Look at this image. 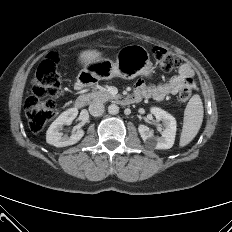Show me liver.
I'll return each instance as SVG.
<instances>
[{"instance_id":"6515ba94","label":"liver","mask_w":232,"mask_h":232,"mask_svg":"<svg viewBox=\"0 0 232 232\" xmlns=\"http://www.w3.org/2000/svg\"><path fill=\"white\" fill-rule=\"evenodd\" d=\"M100 55L101 53L96 50H87V51H83L80 54L79 58H80L81 63L87 64L94 60L100 59Z\"/></svg>"}]
</instances>
